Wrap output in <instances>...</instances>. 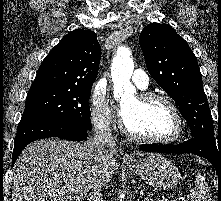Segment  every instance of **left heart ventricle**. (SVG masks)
<instances>
[{"mask_svg":"<svg viewBox=\"0 0 221 201\" xmlns=\"http://www.w3.org/2000/svg\"><path fill=\"white\" fill-rule=\"evenodd\" d=\"M122 110L125 124L137 134L168 138L177 130L175 116L162 101L143 103L135 96L123 102Z\"/></svg>","mask_w":221,"mask_h":201,"instance_id":"1","label":"left heart ventricle"}]
</instances>
